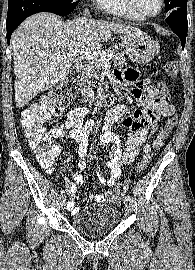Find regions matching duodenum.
<instances>
[{
    "mask_svg": "<svg viewBox=\"0 0 195 270\" xmlns=\"http://www.w3.org/2000/svg\"><path fill=\"white\" fill-rule=\"evenodd\" d=\"M81 72H82V65H78V67L76 69V75L79 76L81 74ZM80 97L83 101H88V100L92 99L93 95H92L90 90L83 89L80 92ZM111 100L112 99L110 97H106V98H102L100 100V102L102 104H109V103H111Z\"/></svg>",
    "mask_w": 195,
    "mask_h": 270,
    "instance_id": "duodenum-1",
    "label": "duodenum"
}]
</instances>
